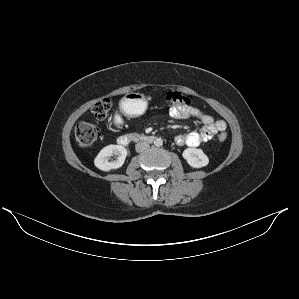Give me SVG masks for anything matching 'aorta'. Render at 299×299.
I'll return each mask as SVG.
<instances>
[{"instance_id":"1","label":"aorta","mask_w":299,"mask_h":299,"mask_svg":"<svg viewBox=\"0 0 299 299\" xmlns=\"http://www.w3.org/2000/svg\"><path fill=\"white\" fill-rule=\"evenodd\" d=\"M154 145H155L156 147H161V146L163 145V141H162V139H161V138H157V139H155V141H154Z\"/></svg>"}]
</instances>
